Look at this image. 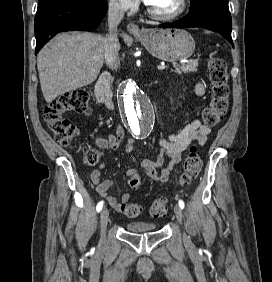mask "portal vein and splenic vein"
I'll return each instance as SVG.
<instances>
[{
  "label": "portal vein and splenic vein",
  "mask_w": 272,
  "mask_h": 282,
  "mask_svg": "<svg viewBox=\"0 0 272 282\" xmlns=\"http://www.w3.org/2000/svg\"><path fill=\"white\" fill-rule=\"evenodd\" d=\"M158 70H165L167 67L165 65L157 66Z\"/></svg>",
  "instance_id": "portal-vein-and-splenic-vein-1"
}]
</instances>
